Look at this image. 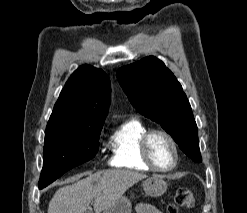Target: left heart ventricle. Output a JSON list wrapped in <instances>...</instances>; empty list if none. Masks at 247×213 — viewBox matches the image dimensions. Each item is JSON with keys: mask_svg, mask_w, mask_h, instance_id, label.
<instances>
[{"mask_svg": "<svg viewBox=\"0 0 247 213\" xmlns=\"http://www.w3.org/2000/svg\"><path fill=\"white\" fill-rule=\"evenodd\" d=\"M150 153L161 168H168L174 162V151L170 142L162 135H155L150 142Z\"/></svg>", "mask_w": 247, "mask_h": 213, "instance_id": "b2bd125f", "label": "left heart ventricle"}]
</instances>
